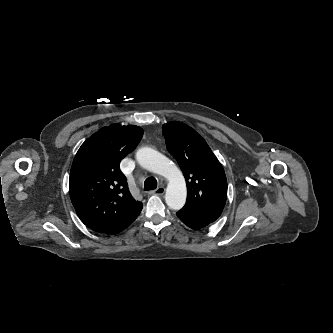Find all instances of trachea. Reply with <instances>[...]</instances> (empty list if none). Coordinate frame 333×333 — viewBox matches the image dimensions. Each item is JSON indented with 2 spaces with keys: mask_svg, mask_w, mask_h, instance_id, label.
Instances as JSON below:
<instances>
[{
  "mask_svg": "<svg viewBox=\"0 0 333 333\" xmlns=\"http://www.w3.org/2000/svg\"><path fill=\"white\" fill-rule=\"evenodd\" d=\"M157 188V180L154 177H149L144 182L145 190H154Z\"/></svg>",
  "mask_w": 333,
  "mask_h": 333,
  "instance_id": "obj_1",
  "label": "trachea"
}]
</instances>
